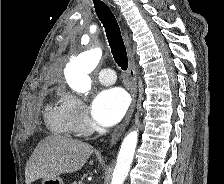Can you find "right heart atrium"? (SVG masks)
I'll use <instances>...</instances> for the list:
<instances>
[{
	"instance_id": "d8ad5b80",
	"label": "right heart atrium",
	"mask_w": 224,
	"mask_h": 184,
	"mask_svg": "<svg viewBox=\"0 0 224 184\" xmlns=\"http://www.w3.org/2000/svg\"><path fill=\"white\" fill-rule=\"evenodd\" d=\"M62 99L74 132L78 134L87 133L91 127V121L85 103L74 94H66Z\"/></svg>"
}]
</instances>
